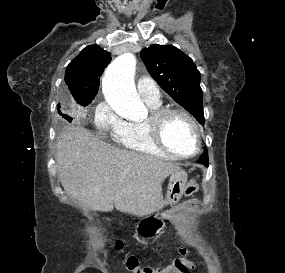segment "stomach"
<instances>
[{"label":"stomach","mask_w":285,"mask_h":273,"mask_svg":"<svg viewBox=\"0 0 285 273\" xmlns=\"http://www.w3.org/2000/svg\"><path fill=\"white\" fill-rule=\"evenodd\" d=\"M187 178L188 174L180 169L173 171L170 174L164 205L172 206L181 199L187 183ZM159 222H161V220L157 217L146 219L138 225V232L143 236L158 234L161 229V227L156 228Z\"/></svg>","instance_id":"stomach-1"}]
</instances>
